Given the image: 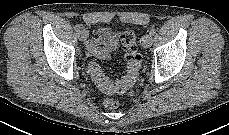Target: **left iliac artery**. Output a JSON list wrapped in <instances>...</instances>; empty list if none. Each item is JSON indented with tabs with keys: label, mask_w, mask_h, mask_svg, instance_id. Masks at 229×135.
<instances>
[{
	"label": "left iliac artery",
	"mask_w": 229,
	"mask_h": 135,
	"mask_svg": "<svg viewBox=\"0 0 229 135\" xmlns=\"http://www.w3.org/2000/svg\"><path fill=\"white\" fill-rule=\"evenodd\" d=\"M155 33H156V30H155V29H151V30L149 31V34H150L151 36H153Z\"/></svg>",
	"instance_id": "left-iliac-artery-1"
}]
</instances>
